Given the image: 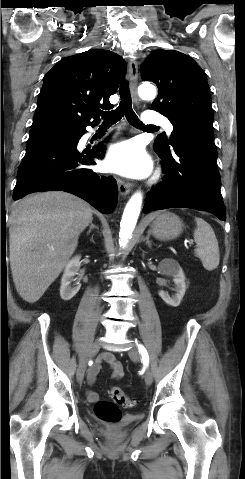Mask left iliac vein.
Segmentation results:
<instances>
[{"instance_id": "left-iliac-vein-1", "label": "left iliac vein", "mask_w": 245, "mask_h": 479, "mask_svg": "<svg viewBox=\"0 0 245 479\" xmlns=\"http://www.w3.org/2000/svg\"><path fill=\"white\" fill-rule=\"evenodd\" d=\"M129 357L133 360V361H138L140 359V354H139V351L136 347H132L129 352ZM144 380H145V383L147 385H150L153 381V376H152V372L149 368H146L145 370V374H144Z\"/></svg>"}]
</instances>
